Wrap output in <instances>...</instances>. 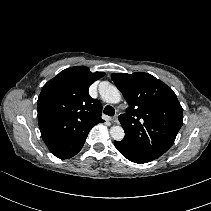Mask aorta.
Masks as SVG:
<instances>
[{
	"mask_svg": "<svg viewBox=\"0 0 211 211\" xmlns=\"http://www.w3.org/2000/svg\"><path fill=\"white\" fill-rule=\"evenodd\" d=\"M99 93L101 98L107 103L116 104L121 100V94L119 90L108 82L100 83ZM110 134L111 137L116 141H121L125 136L124 129L121 126L111 127Z\"/></svg>",
	"mask_w": 211,
	"mask_h": 211,
	"instance_id": "obj_1",
	"label": "aorta"
}]
</instances>
